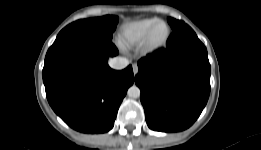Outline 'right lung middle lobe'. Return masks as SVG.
I'll list each match as a JSON object with an SVG mask.
<instances>
[{"mask_svg":"<svg viewBox=\"0 0 261 150\" xmlns=\"http://www.w3.org/2000/svg\"><path fill=\"white\" fill-rule=\"evenodd\" d=\"M117 23L118 17L110 15L78 20L69 24L60 31L55 41L66 38L111 40L112 33L116 29Z\"/></svg>","mask_w":261,"mask_h":150,"instance_id":"1","label":"right lung middle lobe"}]
</instances>
